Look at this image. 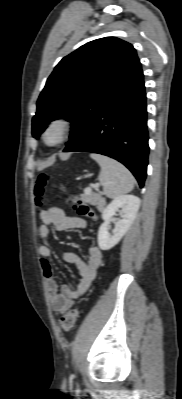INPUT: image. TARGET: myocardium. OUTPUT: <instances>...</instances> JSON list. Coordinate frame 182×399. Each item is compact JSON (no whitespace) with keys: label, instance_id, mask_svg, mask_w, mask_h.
Masks as SVG:
<instances>
[{"label":"myocardium","instance_id":"1","mask_svg":"<svg viewBox=\"0 0 182 399\" xmlns=\"http://www.w3.org/2000/svg\"><path fill=\"white\" fill-rule=\"evenodd\" d=\"M53 128H57L59 130L60 137L56 142L49 143L47 141V134ZM73 128H74V123L69 117L57 116V117L51 119L47 123L46 127L44 128V131L42 134L43 141L48 146H51V147L58 146V145L64 143L68 139V137L70 136V134L73 131Z\"/></svg>","mask_w":182,"mask_h":399}]
</instances>
